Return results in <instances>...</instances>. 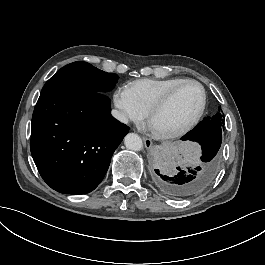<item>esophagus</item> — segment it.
I'll use <instances>...</instances> for the list:
<instances>
[{
	"label": "esophagus",
	"instance_id": "obj_1",
	"mask_svg": "<svg viewBox=\"0 0 265 265\" xmlns=\"http://www.w3.org/2000/svg\"><path fill=\"white\" fill-rule=\"evenodd\" d=\"M144 145L147 149L151 148L152 146V140L148 137H143Z\"/></svg>",
	"mask_w": 265,
	"mask_h": 265
}]
</instances>
